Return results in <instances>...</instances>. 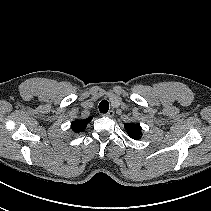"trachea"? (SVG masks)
Returning <instances> with one entry per match:
<instances>
[{"mask_svg":"<svg viewBox=\"0 0 211 211\" xmlns=\"http://www.w3.org/2000/svg\"><path fill=\"white\" fill-rule=\"evenodd\" d=\"M109 110V103L106 100H102L99 104V111L101 113H107Z\"/></svg>","mask_w":211,"mask_h":211,"instance_id":"3493384b","label":"trachea"}]
</instances>
